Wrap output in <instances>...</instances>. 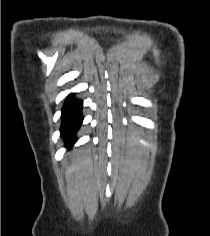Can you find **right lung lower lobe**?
Returning a JSON list of instances; mask_svg holds the SVG:
<instances>
[{
  "label": "right lung lower lobe",
  "mask_w": 210,
  "mask_h": 236,
  "mask_svg": "<svg viewBox=\"0 0 210 236\" xmlns=\"http://www.w3.org/2000/svg\"><path fill=\"white\" fill-rule=\"evenodd\" d=\"M82 101L69 97L62 108L61 136L68 140L67 146H71L76 139L75 133L81 126L83 117L81 115Z\"/></svg>",
  "instance_id": "obj_1"
}]
</instances>
